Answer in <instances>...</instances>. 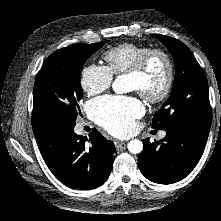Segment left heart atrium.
I'll return each instance as SVG.
<instances>
[{
  "instance_id": "obj_1",
  "label": "left heart atrium",
  "mask_w": 221,
  "mask_h": 221,
  "mask_svg": "<svg viewBox=\"0 0 221 221\" xmlns=\"http://www.w3.org/2000/svg\"><path fill=\"white\" fill-rule=\"evenodd\" d=\"M144 110L143 103L135 97L107 96L93 101L90 113L110 133L125 137L134 132L135 120Z\"/></svg>"
}]
</instances>
